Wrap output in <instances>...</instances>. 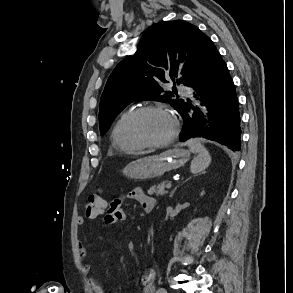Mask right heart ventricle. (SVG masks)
<instances>
[{
    "mask_svg": "<svg viewBox=\"0 0 293 293\" xmlns=\"http://www.w3.org/2000/svg\"><path fill=\"white\" fill-rule=\"evenodd\" d=\"M135 111L134 108H129L123 111L116 119L112 131L111 142L115 149L125 153H135L143 149V147L133 142L127 132L128 121Z\"/></svg>",
    "mask_w": 293,
    "mask_h": 293,
    "instance_id": "1",
    "label": "right heart ventricle"
}]
</instances>
